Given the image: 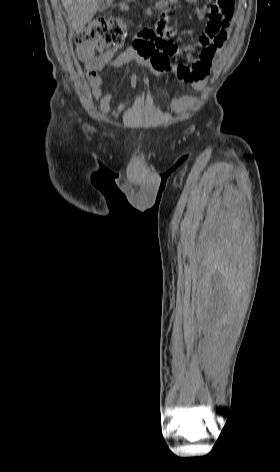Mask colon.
Returning a JSON list of instances; mask_svg holds the SVG:
<instances>
[{"label":"colon","mask_w":280,"mask_h":472,"mask_svg":"<svg viewBox=\"0 0 280 472\" xmlns=\"http://www.w3.org/2000/svg\"><path fill=\"white\" fill-rule=\"evenodd\" d=\"M166 0L159 4L162 10L160 21H167ZM235 7V0H217L209 9L208 20L214 25L227 24L231 19ZM126 37V28L123 22L113 18H99L90 22L82 31L74 36V42L80 46L91 48L119 47Z\"/></svg>","instance_id":"5ec220e1"}]
</instances>
